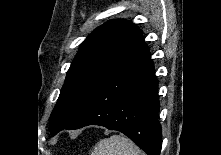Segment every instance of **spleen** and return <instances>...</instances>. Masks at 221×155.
I'll use <instances>...</instances> for the list:
<instances>
[{
	"instance_id": "obj_1",
	"label": "spleen",
	"mask_w": 221,
	"mask_h": 155,
	"mask_svg": "<svg viewBox=\"0 0 221 155\" xmlns=\"http://www.w3.org/2000/svg\"><path fill=\"white\" fill-rule=\"evenodd\" d=\"M90 155H144V153L128 138L115 134L100 140Z\"/></svg>"
}]
</instances>
